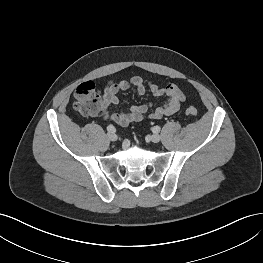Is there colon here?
<instances>
[{"instance_id":"5ec220e1","label":"colon","mask_w":263,"mask_h":263,"mask_svg":"<svg viewBox=\"0 0 263 263\" xmlns=\"http://www.w3.org/2000/svg\"><path fill=\"white\" fill-rule=\"evenodd\" d=\"M98 92L93 82L87 81L78 85L74 94L73 109L82 114H93L97 109ZM190 117L197 115V109L190 106L186 109Z\"/></svg>"}]
</instances>
